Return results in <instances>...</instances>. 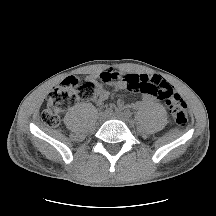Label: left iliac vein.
<instances>
[{
	"label": "left iliac vein",
	"instance_id": "1",
	"mask_svg": "<svg viewBox=\"0 0 216 216\" xmlns=\"http://www.w3.org/2000/svg\"><path fill=\"white\" fill-rule=\"evenodd\" d=\"M109 118H111V119H118V120H121V121L126 122V123L129 122L128 117L124 113H120V112L114 113V114H110Z\"/></svg>",
	"mask_w": 216,
	"mask_h": 216
}]
</instances>
